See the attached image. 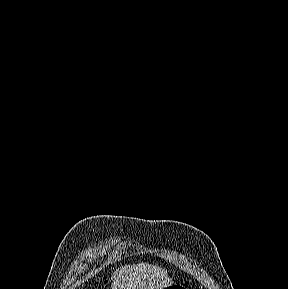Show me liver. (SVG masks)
<instances>
[{
	"instance_id": "liver-1",
	"label": "liver",
	"mask_w": 288,
	"mask_h": 289,
	"mask_svg": "<svg viewBox=\"0 0 288 289\" xmlns=\"http://www.w3.org/2000/svg\"><path fill=\"white\" fill-rule=\"evenodd\" d=\"M172 284L165 269L149 263H138L116 269L111 289H164Z\"/></svg>"
}]
</instances>
